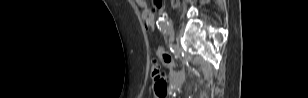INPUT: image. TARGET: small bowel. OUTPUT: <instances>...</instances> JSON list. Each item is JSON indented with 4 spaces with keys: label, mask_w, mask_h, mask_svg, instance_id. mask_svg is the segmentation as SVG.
<instances>
[{
    "label": "small bowel",
    "mask_w": 308,
    "mask_h": 98,
    "mask_svg": "<svg viewBox=\"0 0 308 98\" xmlns=\"http://www.w3.org/2000/svg\"><path fill=\"white\" fill-rule=\"evenodd\" d=\"M137 2V4L142 8V9H149V7H148V3H147V1H145V0H137L136 1ZM153 8L154 9H161L162 8V2L161 3H154L153 4ZM152 14V13H151ZM142 18H143V16H142ZM151 24H153V22H151ZM144 27H145V25H144ZM165 79V78H164ZM166 81V80H165ZM166 86H167V83H166Z\"/></svg>",
    "instance_id": "obj_1"
}]
</instances>
